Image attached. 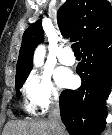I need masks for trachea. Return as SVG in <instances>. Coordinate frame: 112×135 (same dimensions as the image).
I'll use <instances>...</instances> for the list:
<instances>
[{"instance_id":"trachea-1","label":"trachea","mask_w":112,"mask_h":135,"mask_svg":"<svg viewBox=\"0 0 112 135\" xmlns=\"http://www.w3.org/2000/svg\"><path fill=\"white\" fill-rule=\"evenodd\" d=\"M72 49L75 55H81V51H80V47L78 42H75L74 44H72Z\"/></svg>"}]
</instances>
